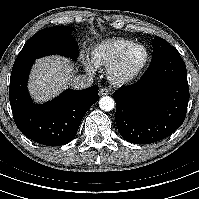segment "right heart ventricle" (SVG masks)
Returning a JSON list of instances; mask_svg holds the SVG:
<instances>
[{
	"label": "right heart ventricle",
	"mask_w": 199,
	"mask_h": 199,
	"mask_svg": "<svg viewBox=\"0 0 199 199\" xmlns=\"http://www.w3.org/2000/svg\"><path fill=\"white\" fill-rule=\"evenodd\" d=\"M132 44L134 41L128 38H112L99 42L91 47V61L96 67L108 68Z\"/></svg>",
	"instance_id": "obj_1"
}]
</instances>
